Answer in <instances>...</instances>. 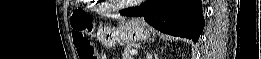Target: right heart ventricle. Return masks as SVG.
<instances>
[{"label": "right heart ventricle", "mask_w": 261, "mask_h": 59, "mask_svg": "<svg viewBox=\"0 0 261 59\" xmlns=\"http://www.w3.org/2000/svg\"><path fill=\"white\" fill-rule=\"evenodd\" d=\"M94 8L99 9V10H106V8H101V7L98 8V7L94 6Z\"/></svg>", "instance_id": "1"}]
</instances>
